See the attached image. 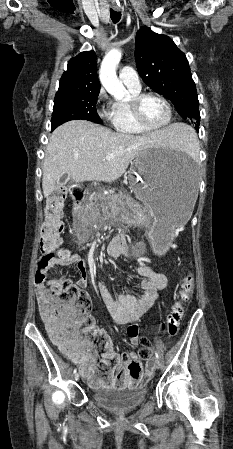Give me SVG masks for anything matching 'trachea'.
<instances>
[{"instance_id": "1", "label": "trachea", "mask_w": 233, "mask_h": 449, "mask_svg": "<svg viewBox=\"0 0 233 449\" xmlns=\"http://www.w3.org/2000/svg\"><path fill=\"white\" fill-rule=\"evenodd\" d=\"M110 17L113 23H117L121 19V13L113 9H110Z\"/></svg>"}]
</instances>
